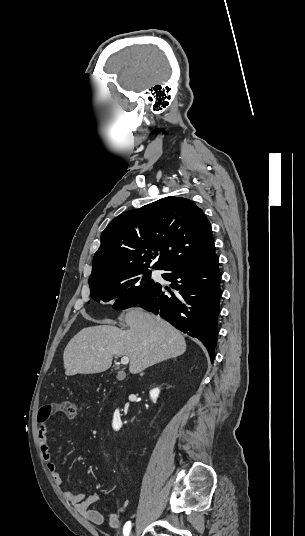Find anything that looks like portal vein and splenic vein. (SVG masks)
<instances>
[{
  "mask_svg": "<svg viewBox=\"0 0 305 536\" xmlns=\"http://www.w3.org/2000/svg\"><path fill=\"white\" fill-rule=\"evenodd\" d=\"M121 364H129V358H127V356H123L122 360H121Z\"/></svg>",
  "mask_w": 305,
  "mask_h": 536,
  "instance_id": "obj_1",
  "label": "portal vein and splenic vein"
}]
</instances>
